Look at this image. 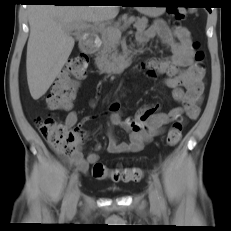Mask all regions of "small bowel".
Masks as SVG:
<instances>
[{
    "label": "small bowel",
    "mask_w": 231,
    "mask_h": 231,
    "mask_svg": "<svg viewBox=\"0 0 231 231\" xmlns=\"http://www.w3.org/2000/svg\"><path fill=\"white\" fill-rule=\"evenodd\" d=\"M158 37L168 47L171 55L165 59H152L143 64L150 76L164 75L165 84L172 90V98L179 106L169 112H159L158 104H145L134 117L123 118L121 103L114 101L108 112L112 126H118L129 134L128 141L118 142L110 129L107 150L112 154L136 153L155 136L162 133L170 122L185 115L195 120L200 113L204 93V70L194 61V48L190 32L183 26L169 27L165 21L157 19L146 30L137 34V42L143 45ZM78 122L77 113L70 111L64 121L67 127ZM51 144V143H50ZM53 150L78 171L86 174L90 164L98 162L97 152H90L85 158L80 144L69 149L52 145Z\"/></svg>",
    "instance_id": "1"
}]
</instances>
